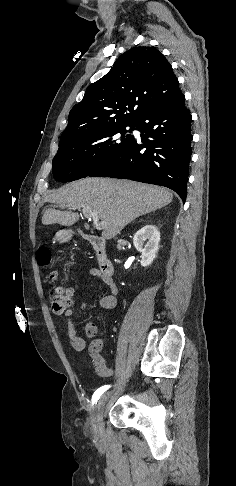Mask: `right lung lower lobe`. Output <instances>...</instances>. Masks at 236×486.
I'll return each instance as SVG.
<instances>
[{"mask_svg":"<svg viewBox=\"0 0 236 486\" xmlns=\"http://www.w3.org/2000/svg\"><path fill=\"white\" fill-rule=\"evenodd\" d=\"M191 121L185 96L155 104L137 119L141 142L133 140L88 176L130 179L174 190L183 200L191 159ZM145 148V151H141Z\"/></svg>","mask_w":236,"mask_h":486,"instance_id":"obj_1","label":"right lung lower lobe"}]
</instances>
